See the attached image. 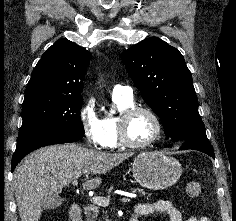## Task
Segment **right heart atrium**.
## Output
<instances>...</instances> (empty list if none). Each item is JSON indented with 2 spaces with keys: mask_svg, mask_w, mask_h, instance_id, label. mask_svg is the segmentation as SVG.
<instances>
[{
  "mask_svg": "<svg viewBox=\"0 0 236 221\" xmlns=\"http://www.w3.org/2000/svg\"><path fill=\"white\" fill-rule=\"evenodd\" d=\"M79 120L82 127L84 137L89 144L95 148L104 147V130L102 120L96 109L95 100L86 99L79 110Z\"/></svg>",
  "mask_w": 236,
  "mask_h": 221,
  "instance_id": "d8ad5b80",
  "label": "right heart atrium"
}]
</instances>
